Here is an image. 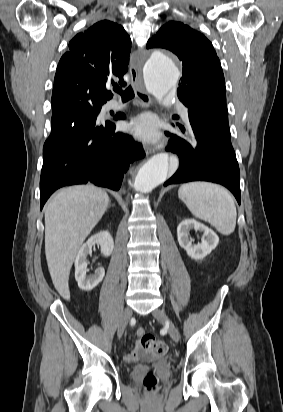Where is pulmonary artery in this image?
I'll use <instances>...</instances> for the list:
<instances>
[{
    "mask_svg": "<svg viewBox=\"0 0 283 412\" xmlns=\"http://www.w3.org/2000/svg\"><path fill=\"white\" fill-rule=\"evenodd\" d=\"M112 108L115 109V110H117V109H121L122 106H120V105H113ZM182 117H183V119H184L185 121L188 120V113H187L186 110H182Z\"/></svg>",
    "mask_w": 283,
    "mask_h": 412,
    "instance_id": "1",
    "label": "pulmonary artery"
}]
</instances>
